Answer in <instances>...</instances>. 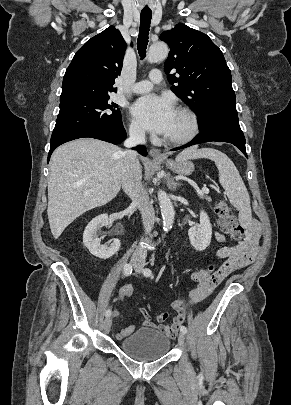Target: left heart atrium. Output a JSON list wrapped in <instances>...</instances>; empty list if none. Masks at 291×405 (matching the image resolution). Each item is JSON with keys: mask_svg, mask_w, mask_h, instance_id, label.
<instances>
[{"mask_svg": "<svg viewBox=\"0 0 291 405\" xmlns=\"http://www.w3.org/2000/svg\"><path fill=\"white\" fill-rule=\"evenodd\" d=\"M175 108L167 97L145 95L131 107L132 116L147 130L166 134L172 124Z\"/></svg>", "mask_w": 291, "mask_h": 405, "instance_id": "left-heart-atrium-1", "label": "left heart atrium"}]
</instances>
